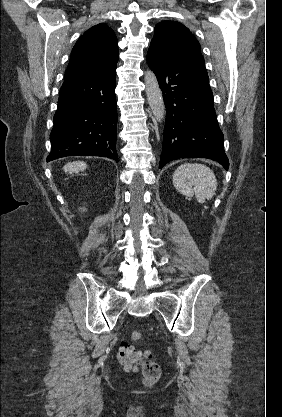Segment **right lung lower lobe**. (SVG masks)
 Instances as JSON below:
<instances>
[{
	"label": "right lung lower lobe",
	"instance_id": "1",
	"mask_svg": "<svg viewBox=\"0 0 282 417\" xmlns=\"http://www.w3.org/2000/svg\"><path fill=\"white\" fill-rule=\"evenodd\" d=\"M115 85L116 64L64 81L47 162L78 155L108 157L118 162Z\"/></svg>",
	"mask_w": 282,
	"mask_h": 417
}]
</instances>
